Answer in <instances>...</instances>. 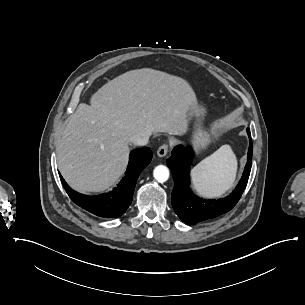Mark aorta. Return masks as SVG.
Returning <instances> with one entry per match:
<instances>
[{
	"mask_svg": "<svg viewBox=\"0 0 305 305\" xmlns=\"http://www.w3.org/2000/svg\"><path fill=\"white\" fill-rule=\"evenodd\" d=\"M153 176L160 183L166 182L169 178V170L164 165H158L153 171Z\"/></svg>",
	"mask_w": 305,
	"mask_h": 305,
	"instance_id": "1",
	"label": "aorta"
}]
</instances>
